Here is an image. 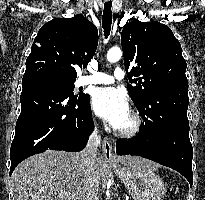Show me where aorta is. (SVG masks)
<instances>
[{
	"mask_svg": "<svg viewBox=\"0 0 205 200\" xmlns=\"http://www.w3.org/2000/svg\"><path fill=\"white\" fill-rule=\"evenodd\" d=\"M122 57V51L119 47H112L107 53V61L110 63L117 62Z\"/></svg>",
	"mask_w": 205,
	"mask_h": 200,
	"instance_id": "obj_1",
	"label": "aorta"
}]
</instances>
